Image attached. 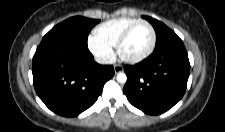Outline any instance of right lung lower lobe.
<instances>
[{
  "label": "right lung lower lobe",
  "instance_id": "1",
  "mask_svg": "<svg viewBox=\"0 0 225 132\" xmlns=\"http://www.w3.org/2000/svg\"><path fill=\"white\" fill-rule=\"evenodd\" d=\"M32 73L45 105L56 114L73 117L96 102L114 68L97 64L85 46L48 42L37 48Z\"/></svg>",
  "mask_w": 225,
  "mask_h": 132
}]
</instances>
